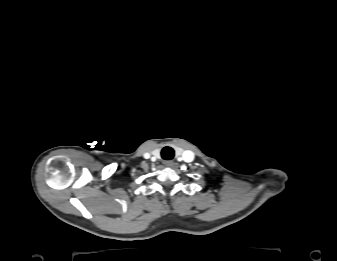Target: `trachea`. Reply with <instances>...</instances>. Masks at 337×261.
I'll return each instance as SVG.
<instances>
[{
    "instance_id": "trachea-1",
    "label": "trachea",
    "mask_w": 337,
    "mask_h": 261,
    "mask_svg": "<svg viewBox=\"0 0 337 261\" xmlns=\"http://www.w3.org/2000/svg\"><path fill=\"white\" fill-rule=\"evenodd\" d=\"M161 156L164 160H171L174 157V150L171 147H164Z\"/></svg>"
}]
</instances>
